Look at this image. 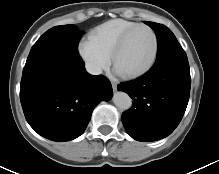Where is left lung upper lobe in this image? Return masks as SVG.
Here are the masks:
<instances>
[{
  "instance_id": "obj_1",
  "label": "left lung upper lobe",
  "mask_w": 219,
  "mask_h": 174,
  "mask_svg": "<svg viewBox=\"0 0 219 174\" xmlns=\"http://www.w3.org/2000/svg\"><path fill=\"white\" fill-rule=\"evenodd\" d=\"M156 33L157 36V57L155 63H158L169 57H186V53L178 43L172 31L158 23L145 21Z\"/></svg>"
}]
</instances>
